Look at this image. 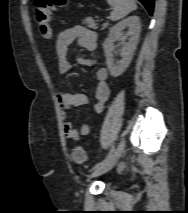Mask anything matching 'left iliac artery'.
<instances>
[{
  "instance_id": "44dca946",
  "label": "left iliac artery",
  "mask_w": 188,
  "mask_h": 213,
  "mask_svg": "<svg viewBox=\"0 0 188 213\" xmlns=\"http://www.w3.org/2000/svg\"><path fill=\"white\" fill-rule=\"evenodd\" d=\"M114 152H115V146L113 145V146L111 147V150L109 151V153H108L106 159L103 160L102 162L96 164V165L93 167V169H97L98 167H100L101 165H103L106 161H108V160L113 156Z\"/></svg>"
}]
</instances>
